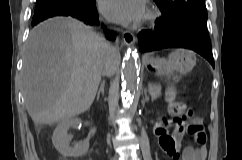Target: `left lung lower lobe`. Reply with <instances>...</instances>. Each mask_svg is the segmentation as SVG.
<instances>
[{"instance_id": "obj_1", "label": "left lung lower lobe", "mask_w": 242, "mask_h": 160, "mask_svg": "<svg viewBox=\"0 0 242 160\" xmlns=\"http://www.w3.org/2000/svg\"><path fill=\"white\" fill-rule=\"evenodd\" d=\"M138 39L140 47L144 51L187 48L201 54L214 67L207 21L174 23L161 17L156 21L154 30L141 31Z\"/></svg>"}]
</instances>
